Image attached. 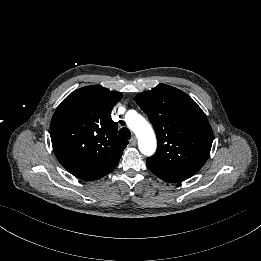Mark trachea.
Here are the masks:
<instances>
[{"instance_id": "1", "label": "trachea", "mask_w": 261, "mask_h": 261, "mask_svg": "<svg viewBox=\"0 0 261 261\" xmlns=\"http://www.w3.org/2000/svg\"><path fill=\"white\" fill-rule=\"evenodd\" d=\"M119 136L126 140H129L131 138V132L128 128L123 127L119 130Z\"/></svg>"}]
</instances>
